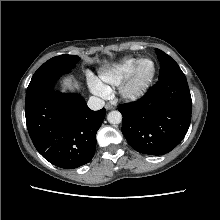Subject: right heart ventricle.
<instances>
[{"mask_svg": "<svg viewBox=\"0 0 220 220\" xmlns=\"http://www.w3.org/2000/svg\"><path fill=\"white\" fill-rule=\"evenodd\" d=\"M138 59L125 57L108 69L100 72L98 82L109 92V85L115 86L123 82Z\"/></svg>", "mask_w": 220, "mask_h": 220, "instance_id": "e07e8e85", "label": "right heart ventricle"}]
</instances>
